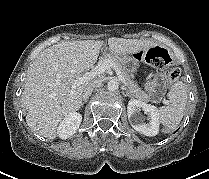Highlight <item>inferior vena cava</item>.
Returning a JSON list of instances; mask_svg holds the SVG:
<instances>
[{
	"label": "inferior vena cava",
	"mask_w": 209,
	"mask_h": 179,
	"mask_svg": "<svg viewBox=\"0 0 209 179\" xmlns=\"http://www.w3.org/2000/svg\"><path fill=\"white\" fill-rule=\"evenodd\" d=\"M100 84V81L98 80H94L90 83V85L87 87V89L84 91L82 98L83 100H87L89 98V96L91 95L92 91L98 87Z\"/></svg>",
	"instance_id": "obj_1"
}]
</instances>
